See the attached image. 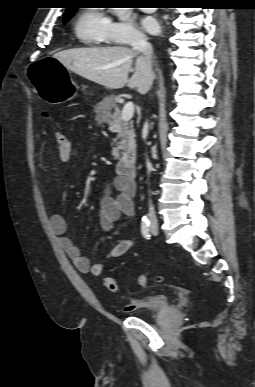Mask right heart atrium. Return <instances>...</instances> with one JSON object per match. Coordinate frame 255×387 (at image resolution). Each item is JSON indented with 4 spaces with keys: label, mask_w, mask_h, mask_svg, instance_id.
Listing matches in <instances>:
<instances>
[{
    "label": "right heart atrium",
    "mask_w": 255,
    "mask_h": 387,
    "mask_svg": "<svg viewBox=\"0 0 255 387\" xmlns=\"http://www.w3.org/2000/svg\"><path fill=\"white\" fill-rule=\"evenodd\" d=\"M107 38L110 43L118 45H133L146 40L130 18L110 21L107 27Z\"/></svg>",
    "instance_id": "d8ad5b80"
}]
</instances>
